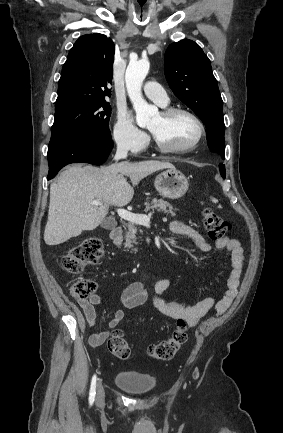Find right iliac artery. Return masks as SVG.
<instances>
[{
	"label": "right iliac artery",
	"instance_id": "right-iliac-artery-1",
	"mask_svg": "<svg viewBox=\"0 0 283 433\" xmlns=\"http://www.w3.org/2000/svg\"><path fill=\"white\" fill-rule=\"evenodd\" d=\"M96 375L93 376L92 381H91V387H90V393H89V403L90 405L93 404L94 400H95V394H96Z\"/></svg>",
	"mask_w": 283,
	"mask_h": 433
}]
</instances>
